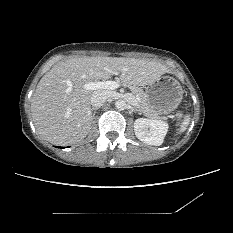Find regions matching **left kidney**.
I'll return each instance as SVG.
<instances>
[{"label":"left kidney","instance_id":"1","mask_svg":"<svg viewBox=\"0 0 233 233\" xmlns=\"http://www.w3.org/2000/svg\"><path fill=\"white\" fill-rule=\"evenodd\" d=\"M168 131V123L162 120L138 118L134 122L136 137L148 145L160 146Z\"/></svg>","mask_w":233,"mask_h":233}]
</instances>
